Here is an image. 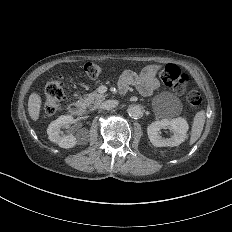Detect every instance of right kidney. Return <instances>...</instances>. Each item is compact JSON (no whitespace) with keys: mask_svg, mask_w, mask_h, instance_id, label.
<instances>
[{"mask_svg":"<svg viewBox=\"0 0 232 232\" xmlns=\"http://www.w3.org/2000/svg\"><path fill=\"white\" fill-rule=\"evenodd\" d=\"M74 122V118L71 115H63L50 123L47 129L49 140L58 144L60 147L71 148L76 143L85 145L87 140L83 137L76 139L72 134L64 135L61 128H68L70 124Z\"/></svg>","mask_w":232,"mask_h":232,"instance_id":"obj_1","label":"right kidney"}]
</instances>
